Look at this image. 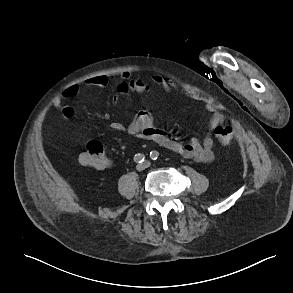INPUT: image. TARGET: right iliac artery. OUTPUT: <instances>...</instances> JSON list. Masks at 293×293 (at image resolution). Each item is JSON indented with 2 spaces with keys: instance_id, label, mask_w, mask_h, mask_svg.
Returning a JSON list of instances; mask_svg holds the SVG:
<instances>
[{
  "instance_id": "1",
  "label": "right iliac artery",
  "mask_w": 293,
  "mask_h": 293,
  "mask_svg": "<svg viewBox=\"0 0 293 293\" xmlns=\"http://www.w3.org/2000/svg\"><path fill=\"white\" fill-rule=\"evenodd\" d=\"M145 160V156L141 153H138L134 156V161L136 163H142Z\"/></svg>"
}]
</instances>
